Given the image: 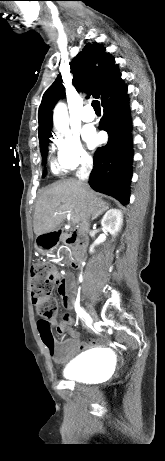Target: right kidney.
Listing matches in <instances>:
<instances>
[{
    "mask_svg": "<svg viewBox=\"0 0 165 461\" xmlns=\"http://www.w3.org/2000/svg\"><path fill=\"white\" fill-rule=\"evenodd\" d=\"M122 224L123 214L121 210L118 209H111L107 211L101 220L103 229L113 236H116L117 233L121 230Z\"/></svg>",
    "mask_w": 165,
    "mask_h": 461,
    "instance_id": "obj_1",
    "label": "right kidney"
}]
</instances>
